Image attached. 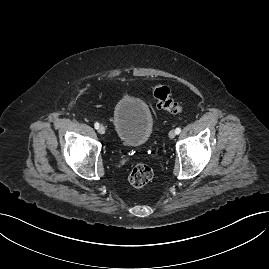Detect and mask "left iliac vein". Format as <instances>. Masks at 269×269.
<instances>
[{
  "label": "left iliac vein",
  "mask_w": 269,
  "mask_h": 269,
  "mask_svg": "<svg viewBox=\"0 0 269 269\" xmlns=\"http://www.w3.org/2000/svg\"><path fill=\"white\" fill-rule=\"evenodd\" d=\"M168 136H169L170 139H173V138L176 136V132H175V130H171V131L169 132Z\"/></svg>",
  "instance_id": "1"
}]
</instances>
